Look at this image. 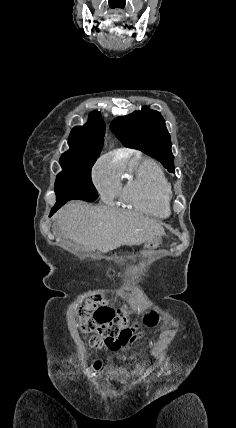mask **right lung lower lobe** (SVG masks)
<instances>
[{
  "instance_id": "obj_1",
  "label": "right lung lower lobe",
  "mask_w": 236,
  "mask_h": 428,
  "mask_svg": "<svg viewBox=\"0 0 236 428\" xmlns=\"http://www.w3.org/2000/svg\"><path fill=\"white\" fill-rule=\"evenodd\" d=\"M57 210H58V209H52V210H51V213H50V216H51V215H53Z\"/></svg>"
}]
</instances>
